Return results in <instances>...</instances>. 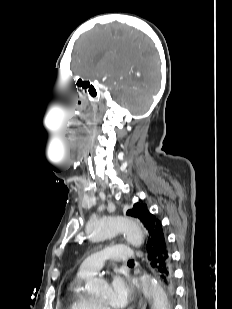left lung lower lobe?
Here are the masks:
<instances>
[{
  "label": "left lung lower lobe",
  "mask_w": 232,
  "mask_h": 309,
  "mask_svg": "<svg viewBox=\"0 0 232 309\" xmlns=\"http://www.w3.org/2000/svg\"><path fill=\"white\" fill-rule=\"evenodd\" d=\"M146 253L150 266L158 274L165 290L173 293L172 258L161 223L156 226L153 237L146 244Z\"/></svg>",
  "instance_id": "1"
}]
</instances>
